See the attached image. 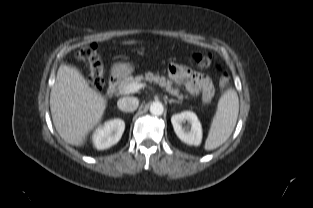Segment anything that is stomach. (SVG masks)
<instances>
[{"label": "stomach", "instance_id": "0dacf381", "mask_svg": "<svg viewBox=\"0 0 313 208\" xmlns=\"http://www.w3.org/2000/svg\"><path fill=\"white\" fill-rule=\"evenodd\" d=\"M133 71V67L130 64L120 63L115 66L114 72L118 75L130 74Z\"/></svg>", "mask_w": 313, "mask_h": 208}]
</instances>
